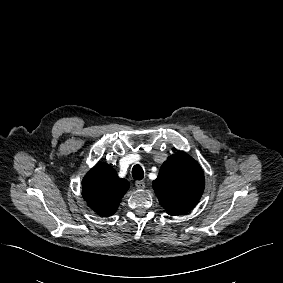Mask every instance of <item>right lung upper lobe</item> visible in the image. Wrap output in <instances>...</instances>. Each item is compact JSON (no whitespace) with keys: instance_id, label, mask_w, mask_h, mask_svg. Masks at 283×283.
I'll return each mask as SVG.
<instances>
[{"instance_id":"1","label":"right lung upper lobe","mask_w":283,"mask_h":283,"mask_svg":"<svg viewBox=\"0 0 283 283\" xmlns=\"http://www.w3.org/2000/svg\"><path fill=\"white\" fill-rule=\"evenodd\" d=\"M129 183L118 177L107 163L100 162L93 167L82 181V196L88 206L101 216L113 215Z\"/></svg>"}]
</instances>
